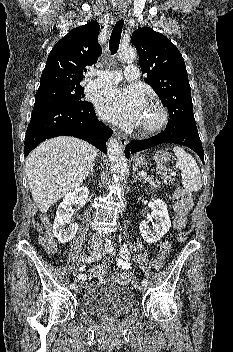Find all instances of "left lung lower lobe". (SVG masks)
Masks as SVG:
<instances>
[{"label":"left lung lower lobe","mask_w":233,"mask_h":352,"mask_svg":"<svg viewBox=\"0 0 233 352\" xmlns=\"http://www.w3.org/2000/svg\"><path fill=\"white\" fill-rule=\"evenodd\" d=\"M162 143H174L183 145L194 150L204 163V151L196 126L169 127L154 137L144 140H132L125 148V155L136 153Z\"/></svg>","instance_id":"0a47b994"}]
</instances>
